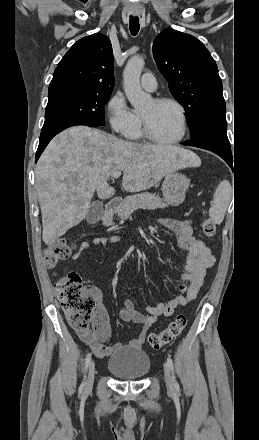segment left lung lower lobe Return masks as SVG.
<instances>
[{"instance_id":"0a47b994","label":"left lung lower lobe","mask_w":259,"mask_h":440,"mask_svg":"<svg viewBox=\"0 0 259 440\" xmlns=\"http://www.w3.org/2000/svg\"><path fill=\"white\" fill-rule=\"evenodd\" d=\"M182 144L213 151L221 158H223L226 163L231 167V147L227 137V128L225 127H209L199 133L196 137L191 138L190 141L184 142Z\"/></svg>"}]
</instances>
